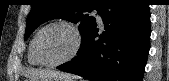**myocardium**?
Listing matches in <instances>:
<instances>
[{"label": "myocardium", "mask_w": 169, "mask_h": 81, "mask_svg": "<svg viewBox=\"0 0 169 81\" xmlns=\"http://www.w3.org/2000/svg\"><path fill=\"white\" fill-rule=\"evenodd\" d=\"M55 26L65 27L72 32V34L74 36V46H73L72 50L70 51V53L66 57H64L63 59H61L57 62H51V63L45 62L40 57V54L38 51V41H39V38L43 32H45L46 30H48L52 27H55ZM81 44H82V35H81L79 28L71 22L59 20V21H54V22H51V23L45 25L36 33L35 38H34V43H33V53H34L35 58L39 62V64H41L42 66L48 67V68H54V67L60 66L64 63L70 61L71 59H73L76 56V54L78 53V51L80 50Z\"/></svg>", "instance_id": "obj_1"}]
</instances>
